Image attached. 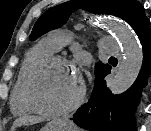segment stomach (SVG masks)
<instances>
[{
	"mask_svg": "<svg viewBox=\"0 0 151 131\" xmlns=\"http://www.w3.org/2000/svg\"><path fill=\"white\" fill-rule=\"evenodd\" d=\"M41 131H77V128L67 120L55 119L46 124Z\"/></svg>",
	"mask_w": 151,
	"mask_h": 131,
	"instance_id": "obj_1",
	"label": "stomach"
}]
</instances>
